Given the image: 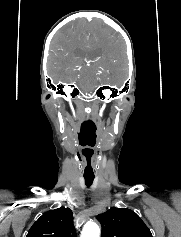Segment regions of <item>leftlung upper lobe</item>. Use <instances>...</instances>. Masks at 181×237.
Segmentation results:
<instances>
[{"label":"left lung upper lobe","mask_w":181,"mask_h":237,"mask_svg":"<svg viewBox=\"0 0 181 237\" xmlns=\"http://www.w3.org/2000/svg\"><path fill=\"white\" fill-rule=\"evenodd\" d=\"M96 218L102 225V237H152L142 219L130 209L112 207Z\"/></svg>","instance_id":"left-lung-upper-lobe-1"}]
</instances>
